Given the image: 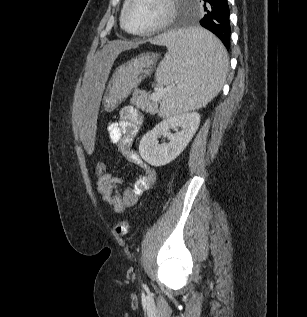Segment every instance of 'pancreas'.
Masks as SVG:
<instances>
[{"instance_id":"pancreas-1","label":"pancreas","mask_w":307,"mask_h":317,"mask_svg":"<svg viewBox=\"0 0 307 317\" xmlns=\"http://www.w3.org/2000/svg\"><path fill=\"white\" fill-rule=\"evenodd\" d=\"M143 101H142V109L146 110L147 112L154 113L156 112V104L154 101H151V99L147 98V94L142 95Z\"/></svg>"}]
</instances>
